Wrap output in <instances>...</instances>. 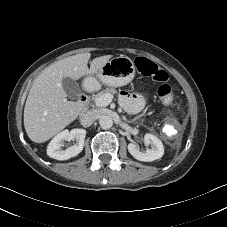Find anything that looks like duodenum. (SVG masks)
Returning a JSON list of instances; mask_svg holds the SVG:
<instances>
[{
    "instance_id": "duodenum-1",
    "label": "duodenum",
    "mask_w": 227,
    "mask_h": 227,
    "mask_svg": "<svg viewBox=\"0 0 227 227\" xmlns=\"http://www.w3.org/2000/svg\"><path fill=\"white\" fill-rule=\"evenodd\" d=\"M79 98H80V99H83L84 97H83V95H80ZM82 102H83V104H84L85 106L88 105L87 101H82Z\"/></svg>"
}]
</instances>
